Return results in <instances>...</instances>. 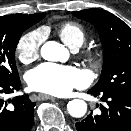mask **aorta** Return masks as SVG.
<instances>
[{
    "instance_id": "obj_1",
    "label": "aorta",
    "mask_w": 131,
    "mask_h": 131,
    "mask_svg": "<svg viewBox=\"0 0 131 131\" xmlns=\"http://www.w3.org/2000/svg\"><path fill=\"white\" fill-rule=\"evenodd\" d=\"M66 54V49L57 42L49 41L41 48V56L48 61H59ZM68 113L74 118H81L87 111V103L80 99H74L67 104Z\"/></svg>"
}]
</instances>
